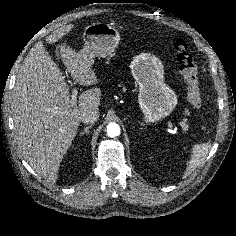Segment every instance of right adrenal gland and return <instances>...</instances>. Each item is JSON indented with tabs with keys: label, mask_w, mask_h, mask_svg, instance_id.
<instances>
[{
	"label": "right adrenal gland",
	"mask_w": 236,
	"mask_h": 236,
	"mask_svg": "<svg viewBox=\"0 0 236 236\" xmlns=\"http://www.w3.org/2000/svg\"><path fill=\"white\" fill-rule=\"evenodd\" d=\"M92 126L93 124H90L89 126L85 127L84 130L80 132L79 136H83L84 134L88 135Z\"/></svg>",
	"instance_id": "2a0ac1e0"
}]
</instances>
